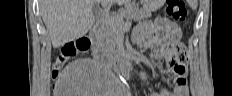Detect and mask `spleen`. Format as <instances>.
Returning <instances> with one entry per match:
<instances>
[{"mask_svg": "<svg viewBox=\"0 0 232 96\" xmlns=\"http://www.w3.org/2000/svg\"><path fill=\"white\" fill-rule=\"evenodd\" d=\"M188 5L191 7L192 10H196L198 3L197 0H187Z\"/></svg>", "mask_w": 232, "mask_h": 96, "instance_id": "3e777b00", "label": "spleen"}]
</instances>
